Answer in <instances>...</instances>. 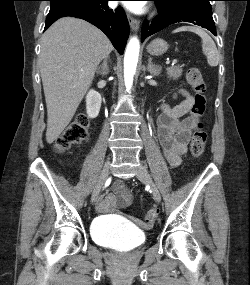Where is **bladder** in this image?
<instances>
[{
  "label": "bladder",
  "mask_w": 250,
  "mask_h": 285,
  "mask_svg": "<svg viewBox=\"0 0 250 285\" xmlns=\"http://www.w3.org/2000/svg\"><path fill=\"white\" fill-rule=\"evenodd\" d=\"M91 235L99 245L117 251H131L146 240L143 230L115 222L106 216L94 220Z\"/></svg>",
  "instance_id": "obj_1"
}]
</instances>
